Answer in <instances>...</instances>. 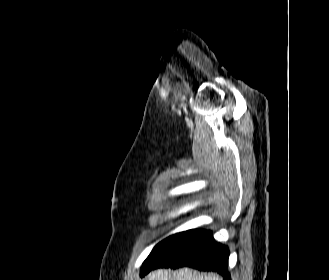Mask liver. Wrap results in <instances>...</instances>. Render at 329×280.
I'll list each match as a JSON object with an SVG mask.
<instances>
[{"instance_id": "obj_1", "label": "liver", "mask_w": 329, "mask_h": 280, "mask_svg": "<svg viewBox=\"0 0 329 280\" xmlns=\"http://www.w3.org/2000/svg\"><path fill=\"white\" fill-rule=\"evenodd\" d=\"M148 280H222L212 274H203L193 271L190 268L179 270L159 269L152 271Z\"/></svg>"}]
</instances>
